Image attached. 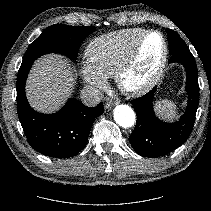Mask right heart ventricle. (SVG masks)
<instances>
[{
  "label": "right heart ventricle",
  "mask_w": 211,
  "mask_h": 211,
  "mask_svg": "<svg viewBox=\"0 0 211 211\" xmlns=\"http://www.w3.org/2000/svg\"><path fill=\"white\" fill-rule=\"evenodd\" d=\"M144 31L143 28H129L93 39L86 48L88 62L103 77H114L118 67Z\"/></svg>",
  "instance_id": "1"
}]
</instances>
